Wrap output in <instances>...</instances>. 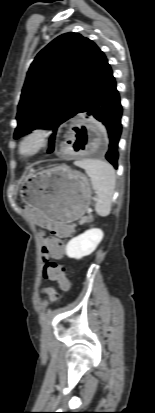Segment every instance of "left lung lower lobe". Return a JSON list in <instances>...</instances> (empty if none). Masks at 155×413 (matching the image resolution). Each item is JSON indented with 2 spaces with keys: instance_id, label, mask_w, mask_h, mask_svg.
Segmentation results:
<instances>
[{
  "instance_id": "0a47b994",
  "label": "left lung lower lobe",
  "mask_w": 155,
  "mask_h": 413,
  "mask_svg": "<svg viewBox=\"0 0 155 413\" xmlns=\"http://www.w3.org/2000/svg\"><path fill=\"white\" fill-rule=\"evenodd\" d=\"M79 113H84L87 117H94L105 125L109 137V148L105 157L117 169V149L122 130V106L108 61L98 75L92 89L84 98Z\"/></svg>"
}]
</instances>
